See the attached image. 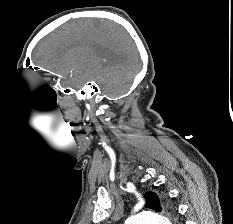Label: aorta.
Returning <instances> with one entry per match:
<instances>
[{
	"instance_id": "aorta-1",
	"label": "aorta",
	"mask_w": 233,
	"mask_h": 224,
	"mask_svg": "<svg viewBox=\"0 0 233 224\" xmlns=\"http://www.w3.org/2000/svg\"><path fill=\"white\" fill-rule=\"evenodd\" d=\"M125 224H171L170 221L153 212H141L137 215L129 217Z\"/></svg>"
}]
</instances>
